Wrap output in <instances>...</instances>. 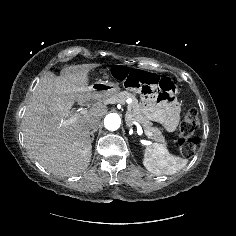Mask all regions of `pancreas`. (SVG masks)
Masks as SVG:
<instances>
[{"label":"pancreas","mask_w":236,"mask_h":236,"mask_svg":"<svg viewBox=\"0 0 236 236\" xmlns=\"http://www.w3.org/2000/svg\"><path fill=\"white\" fill-rule=\"evenodd\" d=\"M128 98H131L133 102L127 106L126 120L127 121H137L143 126L145 132L150 133L148 138L153 139L154 141L161 143L163 146H166V141L158 127H154L152 122H150L140 110L138 100L135 94L123 91L112 96L110 98L111 102H119L124 104Z\"/></svg>","instance_id":"pancreas-1"}]
</instances>
